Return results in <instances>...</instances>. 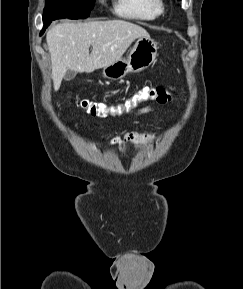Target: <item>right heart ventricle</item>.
Returning <instances> with one entry per match:
<instances>
[{
	"mask_svg": "<svg viewBox=\"0 0 243 289\" xmlns=\"http://www.w3.org/2000/svg\"><path fill=\"white\" fill-rule=\"evenodd\" d=\"M113 10L120 17L140 21L154 20L160 14L157 0H114Z\"/></svg>",
	"mask_w": 243,
	"mask_h": 289,
	"instance_id": "right-heart-ventricle-1",
	"label": "right heart ventricle"
}]
</instances>
